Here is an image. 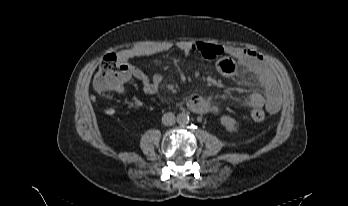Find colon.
Listing matches in <instances>:
<instances>
[{
	"instance_id": "1",
	"label": "colon",
	"mask_w": 348,
	"mask_h": 206,
	"mask_svg": "<svg viewBox=\"0 0 348 206\" xmlns=\"http://www.w3.org/2000/svg\"><path fill=\"white\" fill-rule=\"evenodd\" d=\"M131 77L128 65L115 53H110L100 62L94 78V87L100 94L110 97L113 93L123 92L130 85ZM107 113L113 114L114 109H108ZM251 117L255 122L260 123L264 121L266 115L263 109L256 107L252 110Z\"/></svg>"
}]
</instances>
